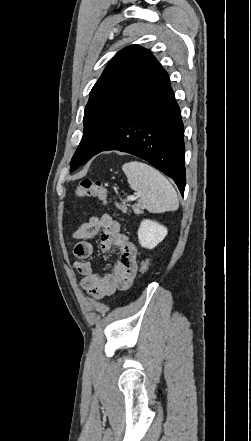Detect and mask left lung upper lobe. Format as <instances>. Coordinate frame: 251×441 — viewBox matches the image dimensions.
<instances>
[{
  "instance_id": "1",
  "label": "left lung upper lobe",
  "mask_w": 251,
  "mask_h": 441,
  "mask_svg": "<svg viewBox=\"0 0 251 441\" xmlns=\"http://www.w3.org/2000/svg\"><path fill=\"white\" fill-rule=\"evenodd\" d=\"M166 71L152 53L138 45L120 50L90 92L84 111V134L71 160L74 171L86 162L84 138L91 125L114 114L126 115Z\"/></svg>"
}]
</instances>
